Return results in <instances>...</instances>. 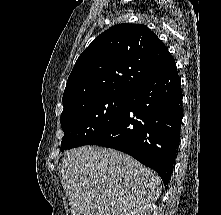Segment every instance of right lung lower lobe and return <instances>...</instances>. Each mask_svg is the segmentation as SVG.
<instances>
[{"label": "right lung lower lobe", "instance_id": "1", "mask_svg": "<svg viewBox=\"0 0 221 215\" xmlns=\"http://www.w3.org/2000/svg\"><path fill=\"white\" fill-rule=\"evenodd\" d=\"M182 92L175 61L129 94L111 128L91 144L125 152L154 169L166 186L180 139Z\"/></svg>", "mask_w": 221, "mask_h": 215}]
</instances>
